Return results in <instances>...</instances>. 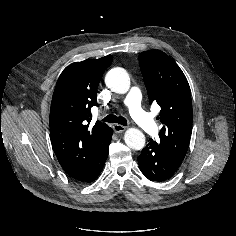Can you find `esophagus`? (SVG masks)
<instances>
[{"label":"esophagus","instance_id":"34e87169","mask_svg":"<svg viewBox=\"0 0 236 236\" xmlns=\"http://www.w3.org/2000/svg\"><path fill=\"white\" fill-rule=\"evenodd\" d=\"M125 129H126L125 126H122V125H119V124H115V125L113 126V130H114V132H116V133H121V132L125 131Z\"/></svg>","mask_w":236,"mask_h":236}]
</instances>
